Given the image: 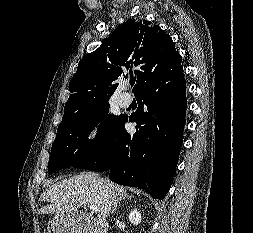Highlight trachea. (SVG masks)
Masks as SVG:
<instances>
[{
	"mask_svg": "<svg viewBox=\"0 0 253 233\" xmlns=\"http://www.w3.org/2000/svg\"><path fill=\"white\" fill-rule=\"evenodd\" d=\"M134 83H135V81H133V80L130 81V85H131V86H133Z\"/></svg>",
	"mask_w": 253,
	"mask_h": 233,
	"instance_id": "trachea-1",
	"label": "trachea"
}]
</instances>
